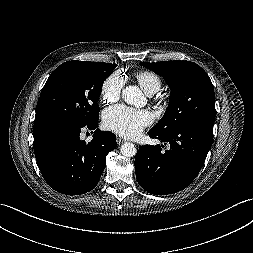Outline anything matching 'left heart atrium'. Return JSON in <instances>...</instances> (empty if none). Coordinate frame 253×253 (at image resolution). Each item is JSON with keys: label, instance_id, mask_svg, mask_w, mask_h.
Returning <instances> with one entry per match:
<instances>
[{"label": "left heart atrium", "instance_id": "left-heart-atrium-1", "mask_svg": "<svg viewBox=\"0 0 253 253\" xmlns=\"http://www.w3.org/2000/svg\"><path fill=\"white\" fill-rule=\"evenodd\" d=\"M152 122L147 110L133 109L125 105L108 108L103 113V124L124 137L135 138Z\"/></svg>", "mask_w": 253, "mask_h": 253}]
</instances>
